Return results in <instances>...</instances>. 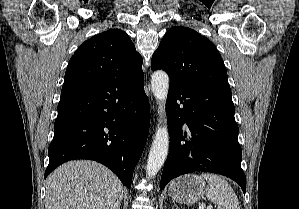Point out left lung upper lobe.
<instances>
[{
    "instance_id": "5c2ea615",
    "label": "left lung upper lobe",
    "mask_w": 299,
    "mask_h": 209,
    "mask_svg": "<svg viewBox=\"0 0 299 209\" xmlns=\"http://www.w3.org/2000/svg\"><path fill=\"white\" fill-rule=\"evenodd\" d=\"M152 70L162 69L170 83H203L230 88L223 59L215 45L196 31L176 26L152 56Z\"/></svg>"
}]
</instances>
